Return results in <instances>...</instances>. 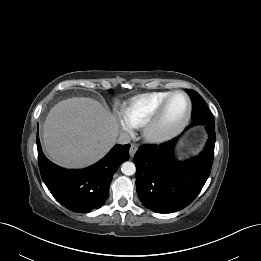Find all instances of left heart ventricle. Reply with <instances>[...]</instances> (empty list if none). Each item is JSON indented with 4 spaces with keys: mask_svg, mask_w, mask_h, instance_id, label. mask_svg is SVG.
Masks as SVG:
<instances>
[{
    "mask_svg": "<svg viewBox=\"0 0 261 261\" xmlns=\"http://www.w3.org/2000/svg\"><path fill=\"white\" fill-rule=\"evenodd\" d=\"M187 112V101L182 95H175L164 114L161 129L170 130L177 126L185 117Z\"/></svg>",
    "mask_w": 261,
    "mask_h": 261,
    "instance_id": "1",
    "label": "left heart ventricle"
}]
</instances>
